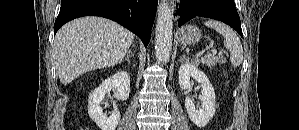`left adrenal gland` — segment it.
<instances>
[{"label": "left adrenal gland", "mask_w": 299, "mask_h": 130, "mask_svg": "<svg viewBox=\"0 0 299 130\" xmlns=\"http://www.w3.org/2000/svg\"><path fill=\"white\" fill-rule=\"evenodd\" d=\"M185 60H187L186 56L183 54L180 59L179 62H184Z\"/></svg>", "instance_id": "left-adrenal-gland-1"}]
</instances>
